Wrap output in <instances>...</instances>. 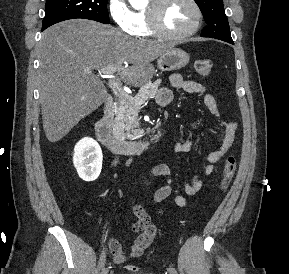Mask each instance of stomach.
Wrapping results in <instances>:
<instances>
[{"mask_svg": "<svg viewBox=\"0 0 289 274\" xmlns=\"http://www.w3.org/2000/svg\"><path fill=\"white\" fill-rule=\"evenodd\" d=\"M189 62V55L181 49H171L158 59L161 71H172L184 67Z\"/></svg>", "mask_w": 289, "mask_h": 274, "instance_id": "1", "label": "stomach"}]
</instances>
